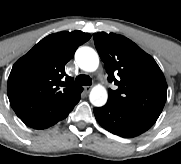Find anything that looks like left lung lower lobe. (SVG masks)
<instances>
[{"mask_svg":"<svg viewBox=\"0 0 181 164\" xmlns=\"http://www.w3.org/2000/svg\"><path fill=\"white\" fill-rule=\"evenodd\" d=\"M98 123L109 132L132 138L147 131L157 119L109 100L100 108H94Z\"/></svg>","mask_w":181,"mask_h":164,"instance_id":"0a47b994","label":"left lung lower lobe"}]
</instances>
